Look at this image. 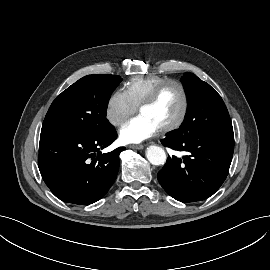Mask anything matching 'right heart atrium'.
Masks as SVG:
<instances>
[{"label":"right heart atrium","mask_w":270,"mask_h":270,"mask_svg":"<svg viewBox=\"0 0 270 270\" xmlns=\"http://www.w3.org/2000/svg\"><path fill=\"white\" fill-rule=\"evenodd\" d=\"M136 111L137 107L130 100L125 90L116 89L107 100L105 116L112 126L119 127Z\"/></svg>","instance_id":"d8ad5b80"}]
</instances>
